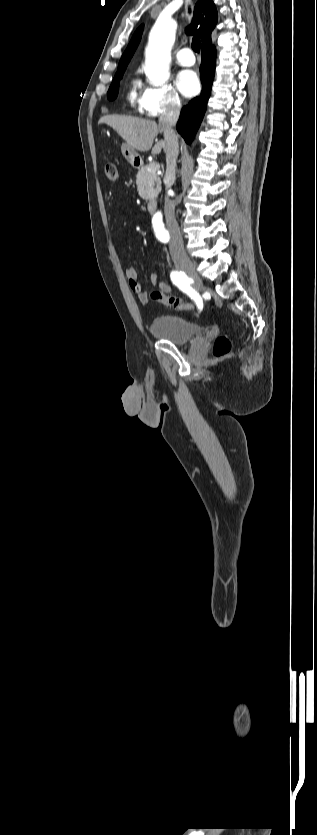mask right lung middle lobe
<instances>
[{
	"mask_svg": "<svg viewBox=\"0 0 317 835\" xmlns=\"http://www.w3.org/2000/svg\"><path fill=\"white\" fill-rule=\"evenodd\" d=\"M126 66L120 67L117 70V73L111 83V86L108 90L107 97L109 100H114L118 95V87H119V80L122 78L125 72Z\"/></svg>",
	"mask_w": 317,
	"mask_h": 835,
	"instance_id": "right-lung-middle-lobe-1",
	"label": "right lung middle lobe"
}]
</instances>
